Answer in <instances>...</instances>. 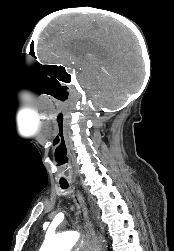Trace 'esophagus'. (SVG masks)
Listing matches in <instances>:
<instances>
[{
  "label": "esophagus",
  "mask_w": 174,
  "mask_h": 251,
  "mask_svg": "<svg viewBox=\"0 0 174 251\" xmlns=\"http://www.w3.org/2000/svg\"><path fill=\"white\" fill-rule=\"evenodd\" d=\"M77 195H78V199H79V202L82 206V209H83V212H84V215L87 219V227H88V234H89V237L91 239V241L94 243L95 247H96V250L97 251H100V246L97 242V238L95 236V231L92 227V224L91 222L89 221V218H88V211H87V206H86V202L84 200V197L83 195L81 194V192L77 189Z\"/></svg>",
  "instance_id": "34e87169"
}]
</instances>
